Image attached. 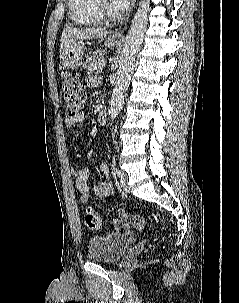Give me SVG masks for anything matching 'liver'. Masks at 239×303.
<instances>
[{
  "instance_id": "1",
  "label": "liver",
  "mask_w": 239,
  "mask_h": 303,
  "mask_svg": "<svg viewBox=\"0 0 239 303\" xmlns=\"http://www.w3.org/2000/svg\"><path fill=\"white\" fill-rule=\"evenodd\" d=\"M108 31L101 27L66 28L61 35L60 48L65 49L78 40H90L106 36Z\"/></svg>"
}]
</instances>
